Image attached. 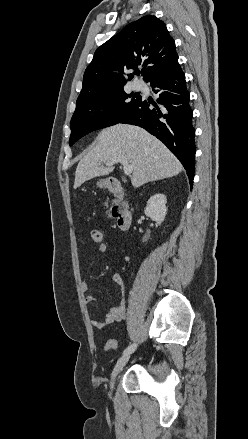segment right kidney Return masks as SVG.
I'll return each instance as SVG.
<instances>
[{
  "instance_id": "right-kidney-1",
  "label": "right kidney",
  "mask_w": 248,
  "mask_h": 439,
  "mask_svg": "<svg viewBox=\"0 0 248 439\" xmlns=\"http://www.w3.org/2000/svg\"><path fill=\"white\" fill-rule=\"evenodd\" d=\"M166 203L167 199L164 194H155L147 201L144 214L160 225L167 213Z\"/></svg>"
}]
</instances>
